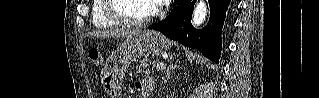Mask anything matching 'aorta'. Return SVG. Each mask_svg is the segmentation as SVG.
<instances>
[{
    "label": "aorta",
    "instance_id": "aorta-1",
    "mask_svg": "<svg viewBox=\"0 0 319 98\" xmlns=\"http://www.w3.org/2000/svg\"><path fill=\"white\" fill-rule=\"evenodd\" d=\"M207 16V5L204 0H199L196 3L193 18H192V24L197 27L200 24H202Z\"/></svg>",
    "mask_w": 319,
    "mask_h": 98
}]
</instances>
